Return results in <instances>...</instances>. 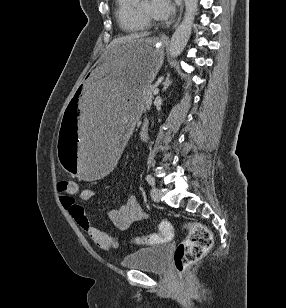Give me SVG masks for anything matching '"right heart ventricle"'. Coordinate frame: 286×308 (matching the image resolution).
Returning <instances> with one entry per match:
<instances>
[{
	"instance_id": "1",
	"label": "right heart ventricle",
	"mask_w": 286,
	"mask_h": 308,
	"mask_svg": "<svg viewBox=\"0 0 286 308\" xmlns=\"http://www.w3.org/2000/svg\"><path fill=\"white\" fill-rule=\"evenodd\" d=\"M135 0H116L115 16L119 27L126 33H138L147 29L135 11Z\"/></svg>"
}]
</instances>
